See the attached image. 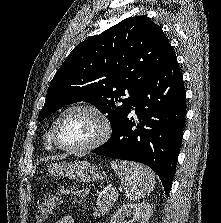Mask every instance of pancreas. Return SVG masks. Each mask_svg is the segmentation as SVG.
<instances>
[{"mask_svg":"<svg viewBox=\"0 0 221 223\" xmlns=\"http://www.w3.org/2000/svg\"><path fill=\"white\" fill-rule=\"evenodd\" d=\"M117 193H108L96 202L94 216L100 217L109 211V208L113 206L117 199Z\"/></svg>","mask_w":221,"mask_h":223,"instance_id":"1","label":"pancreas"}]
</instances>
